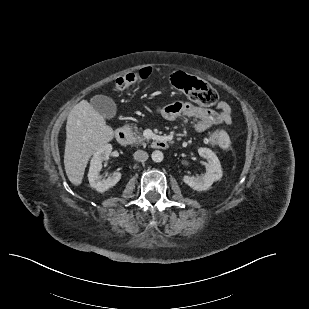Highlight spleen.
<instances>
[{
	"mask_svg": "<svg viewBox=\"0 0 309 309\" xmlns=\"http://www.w3.org/2000/svg\"><path fill=\"white\" fill-rule=\"evenodd\" d=\"M219 145L222 148H227L229 146V139H228L226 133H224V132H222V134H221V140L219 142Z\"/></svg>",
	"mask_w": 309,
	"mask_h": 309,
	"instance_id": "obj_1",
	"label": "spleen"
}]
</instances>
